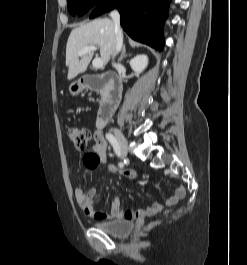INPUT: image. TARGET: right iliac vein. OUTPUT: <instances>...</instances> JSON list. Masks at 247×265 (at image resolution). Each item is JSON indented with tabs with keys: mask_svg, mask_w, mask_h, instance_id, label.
<instances>
[{
	"mask_svg": "<svg viewBox=\"0 0 247 265\" xmlns=\"http://www.w3.org/2000/svg\"><path fill=\"white\" fill-rule=\"evenodd\" d=\"M114 135H115L116 140L119 144L120 151H121L123 157H126L127 152H128V144H127L126 138L124 137L122 132L118 129H114Z\"/></svg>",
	"mask_w": 247,
	"mask_h": 265,
	"instance_id": "right-iliac-vein-1",
	"label": "right iliac vein"
}]
</instances>
